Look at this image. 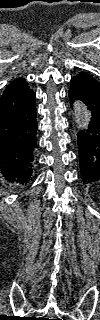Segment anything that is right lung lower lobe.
<instances>
[{
    "label": "right lung lower lobe",
    "instance_id": "1",
    "mask_svg": "<svg viewBox=\"0 0 100 320\" xmlns=\"http://www.w3.org/2000/svg\"><path fill=\"white\" fill-rule=\"evenodd\" d=\"M35 93L28 87L0 99V167L7 179L28 182L36 147Z\"/></svg>",
    "mask_w": 100,
    "mask_h": 320
}]
</instances>
